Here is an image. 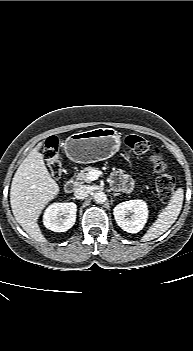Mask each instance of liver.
Returning <instances> with one entry per match:
<instances>
[{
  "mask_svg": "<svg viewBox=\"0 0 193 351\" xmlns=\"http://www.w3.org/2000/svg\"><path fill=\"white\" fill-rule=\"evenodd\" d=\"M40 142L23 160L14 174L10 204L16 221L34 240L47 242L38 225L44 207L59 193V186L48 172Z\"/></svg>",
  "mask_w": 193,
  "mask_h": 351,
  "instance_id": "6515ba94",
  "label": "liver"
}]
</instances>
